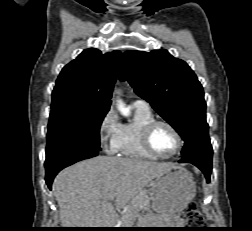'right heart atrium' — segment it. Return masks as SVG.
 Listing matches in <instances>:
<instances>
[{"mask_svg": "<svg viewBox=\"0 0 252 231\" xmlns=\"http://www.w3.org/2000/svg\"><path fill=\"white\" fill-rule=\"evenodd\" d=\"M121 123L113 110H108L102 117L98 132L103 145L111 152L116 151V141L120 132Z\"/></svg>", "mask_w": 252, "mask_h": 231, "instance_id": "obj_1", "label": "right heart atrium"}]
</instances>
